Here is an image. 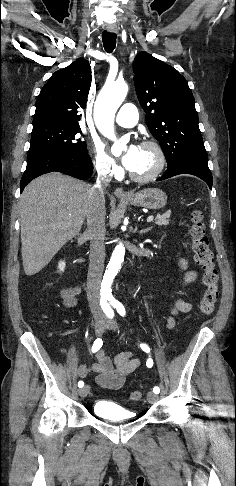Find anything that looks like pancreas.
<instances>
[{"mask_svg": "<svg viewBox=\"0 0 236 486\" xmlns=\"http://www.w3.org/2000/svg\"><path fill=\"white\" fill-rule=\"evenodd\" d=\"M169 218L170 215L168 213H165L163 215H157L155 219V224L158 226H167L169 225Z\"/></svg>", "mask_w": 236, "mask_h": 486, "instance_id": "pancreas-1", "label": "pancreas"}]
</instances>
